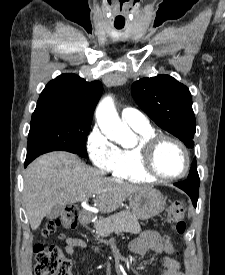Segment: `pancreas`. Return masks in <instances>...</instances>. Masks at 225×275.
Here are the masks:
<instances>
[{"mask_svg": "<svg viewBox=\"0 0 225 275\" xmlns=\"http://www.w3.org/2000/svg\"><path fill=\"white\" fill-rule=\"evenodd\" d=\"M96 236L106 237L112 233L119 234L121 232H129L138 234L141 227L137 218L130 212H119L108 218L98 220L94 223Z\"/></svg>", "mask_w": 225, "mask_h": 275, "instance_id": "pancreas-1", "label": "pancreas"}]
</instances>
